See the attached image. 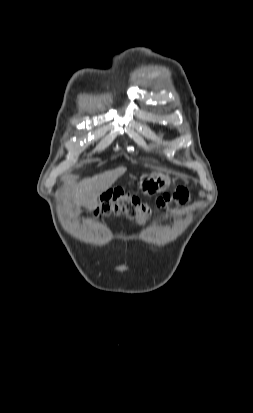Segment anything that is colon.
Here are the masks:
<instances>
[{
  "instance_id": "obj_1",
  "label": "colon",
  "mask_w": 253,
  "mask_h": 413,
  "mask_svg": "<svg viewBox=\"0 0 253 413\" xmlns=\"http://www.w3.org/2000/svg\"><path fill=\"white\" fill-rule=\"evenodd\" d=\"M188 197V191L181 187L172 195L165 194L159 197L156 201V206L165 209L173 202L183 204L187 202ZM95 212L100 216L125 214L127 217L136 219L140 223H145L149 219L152 209L148 204L135 196L120 190H113L101 197L100 204Z\"/></svg>"
}]
</instances>
